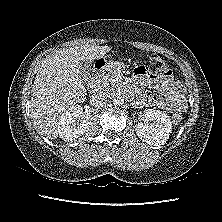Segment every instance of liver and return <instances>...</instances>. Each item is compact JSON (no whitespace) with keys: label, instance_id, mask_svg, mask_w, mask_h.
Returning <instances> with one entry per match:
<instances>
[{"label":"liver","instance_id":"obj_1","mask_svg":"<svg viewBox=\"0 0 222 222\" xmlns=\"http://www.w3.org/2000/svg\"><path fill=\"white\" fill-rule=\"evenodd\" d=\"M110 49L97 45L70 47L58 50L42 61L30 101V117L40 135L57 138L62 119L72 107L86 99L81 62L91 63Z\"/></svg>","mask_w":222,"mask_h":222}]
</instances>
